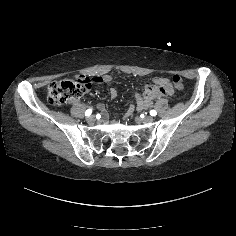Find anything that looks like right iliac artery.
<instances>
[{"mask_svg":"<svg viewBox=\"0 0 236 236\" xmlns=\"http://www.w3.org/2000/svg\"><path fill=\"white\" fill-rule=\"evenodd\" d=\"M91 113H92V109H88V110H86V112H85V116H90Z\"/></svg>","mask_w":236,"mask_h":236,"instance_id":"obj_1","label":"right iliac artery"}]
</instances>
